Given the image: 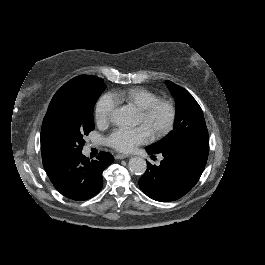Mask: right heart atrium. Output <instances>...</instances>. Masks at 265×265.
Masks as SVG:
<instances>
[{
  "label": "right heart atrium",
  "mask_w": 265,
  "mask_h": 265,
  "mask_svg": "<svg viewBox=\"0 0 265 265\" xmlns=\"http://www.w3.org/2000/svg\"><path fill=\"white\" fill-rule=\"evenodd\" d=\"M117 104L113 98L108 95H102L96 103L94 116L98 125L106 126L112 119L116 111Z\"/></svg>",
  "instance_id": "right-heart-atrium-1"
}]
</instances>
